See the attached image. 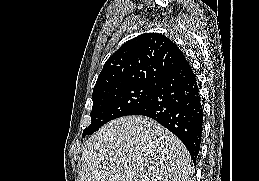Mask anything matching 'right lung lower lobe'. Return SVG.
Here are the masks:
<instances>
[{"mask_svg":"<svg viewBox=\"0 0 259 181\" xmlns=\"http://www.w3.org/2000/svg\"><path fill=\"white\" fill-rule=\"evenodd\" d=\"M130 115L156 120L175 134L193 161L200 150L203 109L196 77L187 61L162 75L149 99Z\"/></svg>","mask_w":259,"mask_h":181,"instance_id":"right-lung-lower-lobe-1","label":"right lung lower lobe"}]
</instances>
